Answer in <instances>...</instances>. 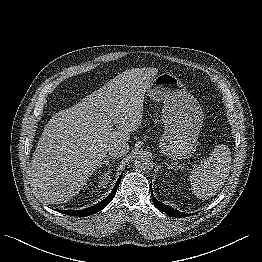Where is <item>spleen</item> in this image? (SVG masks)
Returning a JSON list of instances; mask_svg holds the SVG:
<instances>
[{"label":"spleen","instance_id":"1","mask_svg":"<svg viewBox=\"0 0 262 262\" xmlns=\"http://www.w3.org/2000/svg\"><path fill=\"white\" fill-rule=\"evenodd\" d=\"M231 159L229 148L220 145L208 158L195 165L189 175L194 194L203 199L220 190L229 175Z\"/></svg>","mask_w":262,"mask_h":262}]
</instances>
